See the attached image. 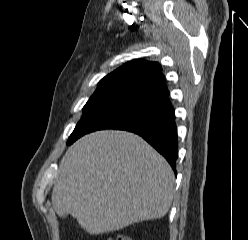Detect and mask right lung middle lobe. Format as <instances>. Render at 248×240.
I'll return each mask as SVG.
<instances>
[{
    "instance_id": "right-lung-middle-lobe-1",
    "label": "right lung middle lobe",
    "mask_w": 248,
    "mask_h": 240,
    "mask_svg": "<svg viewBox=\"0 0 248 240\" xmlns=\"http://www.w3.org/2000/svg\"><path fill=\"white\" fill-rule=\"evenodd\" d=\"M136 101L133 97L110 91H95L84 106L82 118L70 135L67 144H72L86 134L103 118Z\"/></svg>"
}]
</instances>
